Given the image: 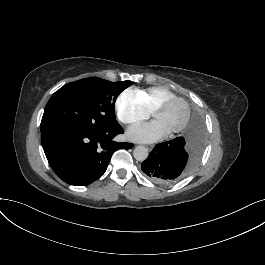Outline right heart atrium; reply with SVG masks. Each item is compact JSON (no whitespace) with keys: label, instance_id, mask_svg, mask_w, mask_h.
Returning a JSON list of instances; mask_svg holds the SVG:
<instances>
[{"label":"right heart atrium","instance_id":"1","mask_svg":"<svg viewBox=\"0 0 265 265\" xmlns=\"http://www.w3.org/2000/svg\"><path fill=\"white\" fill-rule=\"evenodd\" d=\"M116 107L120 119L128 125L141 123L150 117V112L142 101L131 92L123 93L117 100Z\"/></svg>","mask_w":265,"mask_h":265}]
</instances>
